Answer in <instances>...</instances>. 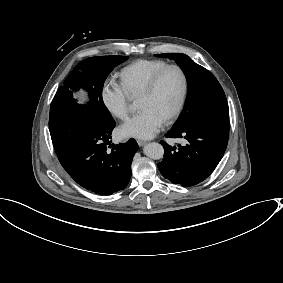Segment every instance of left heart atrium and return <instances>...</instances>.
I'll use <instances>...</instances> for the list:
<instances>
[{
	"label": "left heart atrium",
	"instance_id": "left-heart-atrium-1",
	"mask_svg": "<svg viewBox=\"0 0 283 283\" xmlns=\"http://www.w3.org/2000/svg\"><path fill=\"white\" fill-rule=\"evenodd\" d=\"M165 122V118L152 109L144 108L122 124L117 134L120 138L135 137L147 139L153 137Z\"/></svg>",
	"mask_w": 283,
	"mask_h": 283
}]
</instances>
